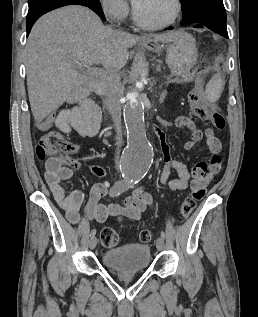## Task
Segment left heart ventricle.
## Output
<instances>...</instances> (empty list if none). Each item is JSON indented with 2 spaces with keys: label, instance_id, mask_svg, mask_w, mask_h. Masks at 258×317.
<instances>
[{
  "label": "left heart ventricle",
  "instance_id": "left-heart-ventricle-1",
  "mask_svg": "<svg viewBox=\"0 0 258 317\" xmlns=\"http://www.w3.org/2000/svg\"><path fill=\"white\" fill-rule=\"evenodd\" d=\"M174 12L175 6L170 0H153L141 6L139 17L145 27L153 28L169 21Z\"/></svg>",
  "mask_w": 258,
  "mask_h": 317
}]
</instances>
